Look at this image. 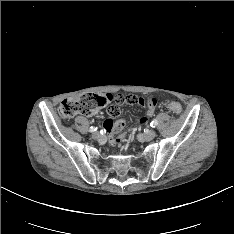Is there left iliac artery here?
Wrapping results in <instances>:
<instances>
[{"label":"left iliac artery","mask_w":234,"mask_h":234,"mask_svg":"<svg viewBox=\"0 0 234 234\" xmlns=\"http://www.w3.org/2000/svg\"><path fill=\"white\" fill-rule=\"evenodd\" d=\"M157 125H158V121H157L156 119L153 120V121L151 122V124H150V126H151L152 128H155Z\"/></svg>","instance_id":"obj_1"}]
</instances>
